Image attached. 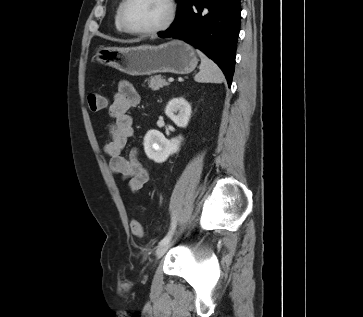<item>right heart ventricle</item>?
Masks as SVG:
<instances>
[{"mask_svg": "<svg viewBox=\"0 0 363 317\" xmlns=\"http://www.w3.org/2000/svg\"><path fill=\"white\" fill-rule=\"evenodd\" d=\"M121 4H122V1H120L119 4L117 5L115 14H114V25H115L116 30L120 33L124 32V30L122 29V27L120 25V21H119V9H120Z\"/></svg>", "mask_w": 363, "mask_h": 317, "instance_id": "1", "label": "right heart ventricle"}]
</instances>
